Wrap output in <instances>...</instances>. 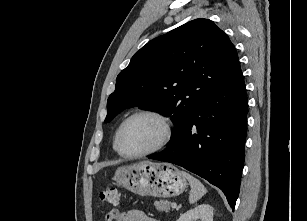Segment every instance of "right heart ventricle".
<instances>
[{
  "label": "right heart ventricle",
  "mask_w": 307,
  "mask_h": 221,
  "mask_svg": "<svg viewBox=\"0 0 307 221\" xmlns=\"http://www.w3.org/2000/svg\"><path fill=\"white\" fill-rule=\"evenodd\" d=\"M120 127V126H119ZM119 127H118V129H119ZM118 129H117V131H118ZM117 131H116V133H117ZM116 133H115V137H114V141H113V148L116 150V147H115V139H116Z\"/></svg>",
  "instance_id": "1"
}]
</instances>
